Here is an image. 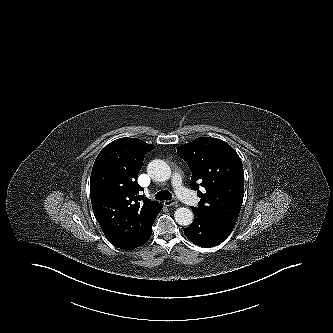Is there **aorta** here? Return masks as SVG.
<instances>
[{"mask_svg": "<svg viewBox=\"0 0 333 333\" xmlns=\"http://www.w3.org/2000/svg\"><path fill=\"white\" fill-rule=\"evenodd\" d=\"M148 174L156 181L168 180L171 176L170 166L163 160H152L147 166ZM175 221L182 226H188L193 221V212L184 207L176 209L174 213Z\"/></svg>", "mask_w": 333, "mask_h": 333, "instance_id": "obj_1", "label": "aorta"}]
</instances>
